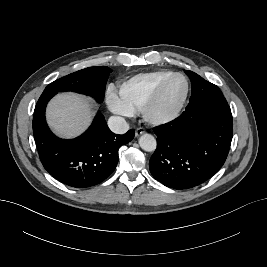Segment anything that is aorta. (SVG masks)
Masks as SVG:
<instances>
[{"mask_svg": "<svg viewBox=\"0 0 267 267\" xmlns=\"http://www.w3.org/2000/svg\"><path fill=\"white\" fill-rule=\"evenodd\" d=\"M139 145L143 150L147 152L154 151L157 146L156 139L154 138V136L147 133L141 135V137L139 138Z\"/></svg>", "mask_w": 267, "mask_h": 267, "instance_id": "762f6f07", "label": "aorta"}]
</instances>
